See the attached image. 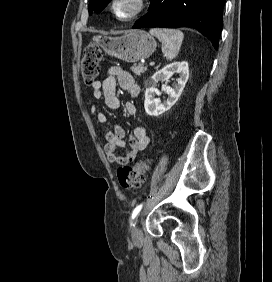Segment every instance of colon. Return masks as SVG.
<instances>
[{
	"label": "colon",
	"instance_id": "1",
	"mask_svg": "<svg viewBox=\"0 0 272 282\" xmlns=\"http://www.w3.org/2000/svg\"><path fill=\"white\" fill-rule=\"evenodd\" d=\"M103 51L98 41H91L85 48L81 59V72L85 84L91 85L96 82L99 74V65L103 60ZM151 160L145 159L133 167L121 166L117 170L118 180L125 190L140 188L145 181L146 172Z\"/></svg>",
	"mask_w": 272,
	"mask_h": 282
}]
</instances>
